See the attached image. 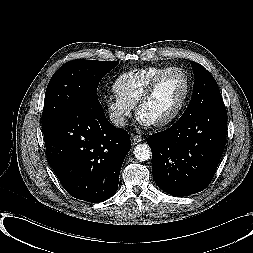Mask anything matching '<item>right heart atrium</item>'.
<instances>
[{"label": "right heart atrium", "mask_w": 253, "mask_h": 253, "mask_svg": "<svg viewBox=\"0 0 253 253\" xmlns=\"http://www.w3.org/2000/svg\"><path fill=\"white\" fill-rule=\"evenodd\" d=\"M105 105L112 121L118 126H124L133 112V106L117 95L109 96Z\"/></svg>", "instance_id": "d8ad5b80"}]
</instances>
